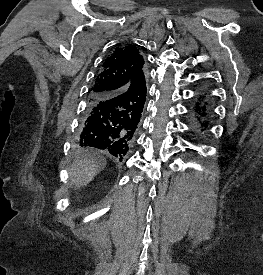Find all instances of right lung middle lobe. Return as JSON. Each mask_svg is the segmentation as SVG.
Returning a JSON list of instances; mask_svg holds the SVG:
<instances>
[{
	"label": "right lung middle lobe",
	"instance_id": "right-lung-middle-lobe-1",
	"mask_svg": "<svg viewBox=\"0 0 263 275\" xmlns=\"http://www.w3.org/2000/svg\"><path fill=\"white\" fill-rule=\"evenodd\" d=\"M87 102H88V104H90V103H92V102H93V99H92L91 97H89V98H88V100H87ZM78 149L82 150V148H81V147H78Z\"/></svg>",
	"mask_w": 263,
	"mask_h": 275
}]
</instances>
